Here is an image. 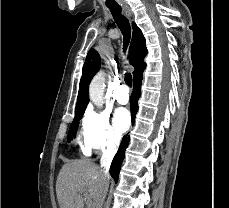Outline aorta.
Instances as JSON below:
<instances>
[{
    "instance_id": "aorta-1",
    "label": "aorta",
    "mask_w": 229,
    "mask_h": 208,
    "mask_svg": "<svg viewBox=\"0 0 229 208\" xmlns=\"http://www.w3.org/2000/svg\"><path fill=\"white\" fill-rule=\"evenodd\" d=\"M105 87V75L99 72L89 86L90 100L97 106H102Z\"/></svg>"
}]
</instances>
